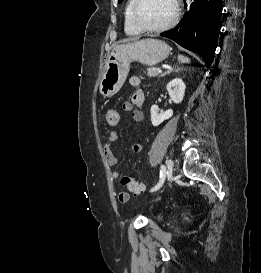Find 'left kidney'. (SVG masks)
Returning a JSON list of instances; mask_svg holds the SVG:
<instances>
[{"mask_svg":"<svg viewBox=\"0 0 261 273\" xmlns=\"http://www.w3.org/2000/svg\"><path fill=\"white\" fill-rule=\"evenodd\" d=\"M167 91L175 104L182 102L185 94L186 85L180 78H175L167 84ZM151 122L153 126H159L162 122L169 119L173 115V110L168 109L165 112H159L157 105L151 106Z\"/></svg>","mask_w":261,"mask_h":273,"instance_id":"left-kidney-1","label":"left kidney"}]
</instances>
